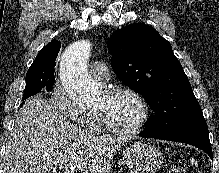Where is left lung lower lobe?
<instances>
[{"instance_id":"left-lung-lower-lobe-1","label":"left lung lower lobe","mask_w":219,"mask_h":173,"mask_svg":"<svg viewBox=\"0 0 219 173\" xmlns=\"http://www.w3.org/2000/svg\"><path fill=\"white\" fill-rule=\"evenodd\" d=\"M142 137L157 138L162 140L176 141L182 143H188L194 145L203 151H205L213 160L212 149L209 140L208 127L205 125H199L182 129L170 134L153 135L150 133L142 132Z\"/></svg>"}]
</instances>
